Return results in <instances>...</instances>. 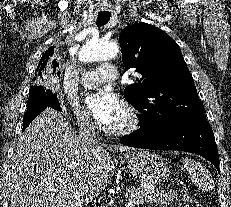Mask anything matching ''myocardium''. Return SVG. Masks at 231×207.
<instances>
[{
    "label": "myocardium",
    "mask_w": 231,
    "mask_h": 207,
    "mask_svg": "<svg viewBox=\"0 0 231 207\" xmlns=\"http://www.w3.org/2000/svg\"><path fill=\"white\" fill-rule=\"evenodd\" d=\"M124 111L127 114V122L118 128H105V132L111 136L121 137L134 133L140 127L141 119L138 111L130 104L124 105Z\"/></svg>",
    "instance_id": "f54148a6"
}]
</instances>
